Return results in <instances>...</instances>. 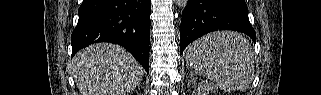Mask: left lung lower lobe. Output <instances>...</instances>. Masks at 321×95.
Returning a JSON list of instances; mask_svg holds the SVG:
<instances>
[{
  "mask_svg": "<svg viewBox=\"0 0 321 95\" xmlns=\"http://www.w3.org/2000/svg\"><path fill=\"white\" fill-rule=\"evenodd\" d=\"M217 30H234L256 41L245 0H188L180 29V52L193 40Z\"/></svg>",
  "mask_w": 321,
  "mask_h": 95,
  "instance_id": "0a47b994",
  "label": "left lung lower lobe"
}]
</instances>
